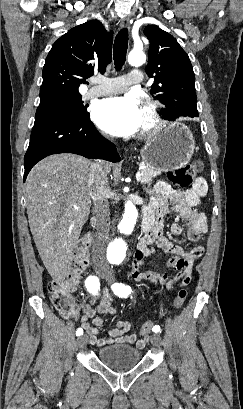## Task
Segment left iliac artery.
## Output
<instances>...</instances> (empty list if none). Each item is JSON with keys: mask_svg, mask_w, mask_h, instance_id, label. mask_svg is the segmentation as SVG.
Wrapping results in <instances>:
<instances>
[{"mask_svg": "<svg viewBox=\"0 0 243 409\" xmlns=\"http://www.w3.org/2000/svg\"><path fill=\"white\" fill-rule=\"evenodd\" d=\"M111 288L114 291V293L118 295L119 297H127L132 291L130 286H127L122 283H115L112 285ZM152 330L155 333L161 332L160 326H155Z\"/></svg>", "mask_w": 243, "mask_h": 409, "instance_id": "1", "label": "left iliac artery"}]
</instances>
